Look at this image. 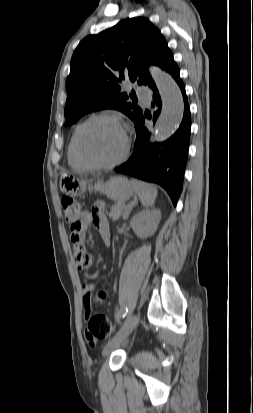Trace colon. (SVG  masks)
Listing matches in <instances>:
<instances>
[{
    "instance_id": "colon-1",
    "label": "colon",
    "mask_w": 253,
    "mask_h": 413,
    "mask_svg": "<svg viewBox=\"0 0 253 413\" xmlns=\"http://www.w3.org/2000/svg\"><path fill=\"white\" fill-rule=\"evenodd\" d=\"M61 205L64 212V217L67 223L72 226H77L80 218V205L70 196H63L61 199ZM107 296L105 291H99L96 296V302L101 303ZM88 319V327L86 331L87 341L93 344L96 340L105 339L113 333V326L110 320L101 313L90 315Z\"/></svg>"
}]
</instances>
